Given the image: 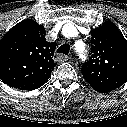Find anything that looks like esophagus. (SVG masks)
<instances>
[{
  "mask_svg": "<svg viewBox=\"0 0 127 127\" xmlns=\"http://www.w3.org/2000/svg\"><path fill=\"white\" fill-rule=\"evenodd\" d=\"M56 59L58 62H65L69 59V57L66 55L59 54L57 55Z\"/></svg>",
  "mask_w": 127,
  "mask_h": 127,
  "instance_id": "1",
  "label": "esophagus"
}]
</instances>
